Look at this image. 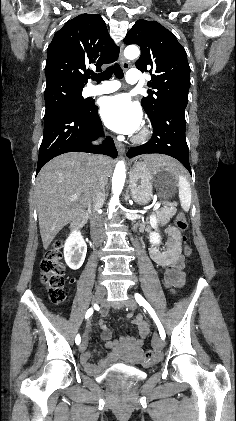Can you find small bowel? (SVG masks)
<instances>
[{
	"instance_id": "1",
	"label": "small bowel",
	"mask_w": 236,
	"mask_h": 421,
	"mask_svg": "<svg viewBox=\"0 0 236 421\" xmlns=\"http://www.w3.org/2000/svg\"><path fill=\"white\" fill-rule=\"evenodd\" d=\"M167 234L170 238L171 243L175 244L176 247L178 248V250H181V234L179 232V230L174 227V226H170L167 229ZM71 282H74V280H71ZM139 329H140V333L142 338L145 337L148 334V326L145 323H140L139 324ZM141 342V341H140ZM138 342V343H140ZM83 356H88L89 357V353H85L83 354Z\"/></svg>"
}]
</instances>
